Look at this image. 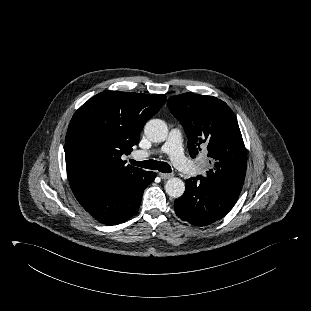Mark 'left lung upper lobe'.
I'll return each instance as SVG.
<instances>
[{
  "mask_svg": "<svg viewBox=\"0 0 311 311\" xmlns=\"http://www.w3.org/2000/svg\"><path fill=\"white\" fill-rule=\"evenodd\" d=\"M188 138L191 158L205 152L211 169L205 177L227 191L240 194L247 156L237 119L230 107L213 96L184 93L167 102Z\"/></svg>",
  "mask_w": 311,
  "mask_h": 311,
  "instance_id": "5c2ea615",
  "label": "left lung upper lobe"
}]
</instances>
